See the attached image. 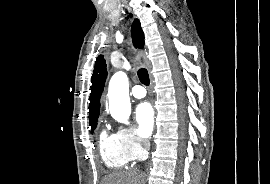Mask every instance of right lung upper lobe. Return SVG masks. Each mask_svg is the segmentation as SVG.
<instances>
[{"label": "right lung upper lobe", "instance_id": "right-lung-upper-lobe-1", "mask_svg": "<svg viewBox=\"0 0 270 184\" xmlns=\"http://www.w3.org/2000/svg\"><path fill=\"white\" fill-rule=\"evenodd\" d=\"M133 43L137 48L144 46V33L141 29L139 20L135 19L132 28ZM107 78L106 61L103 55L98 56L93 75L91 78V94L89 103V121L90 123L97 121L100 110V97L104 89Z\"/></svg>", "mask_w": 270, "mask_h": 184}]
</instances>
